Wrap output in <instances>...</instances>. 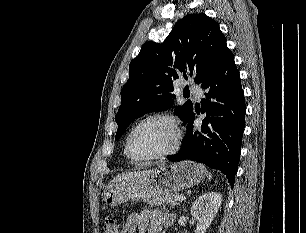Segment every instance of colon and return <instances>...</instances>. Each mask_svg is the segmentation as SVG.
<instances>
[{
    "label": "colon",
    "instance_id": "1",
    "mask_svg": "<svg viewBox=\"0 0 306 233\" xmlns=\"http://www.w3.org/2000/svg\"><path fill=\"white\" fill-rule=\"evenodd\" d=\"M104 233H123L124 227L114 218H106L103 221Z\"/></svg>",
    "mask_w": 306,
    "mask_h": 233
}]
</instances>
